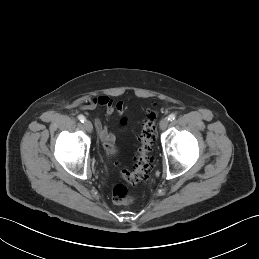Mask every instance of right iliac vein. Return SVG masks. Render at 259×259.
I'll return each instance as SVG.
<instances>
[{
    "instance_id": "right-iliac-vein-1",
    "label": "right iliac vein",
    "mask_w": 259,
    "mask_h": 259,
    "mask_svg": "<svg viewBox=\"0 0 259 259\" xmlns=\"http://www.w3.org/2000/svg\"><path fill=\"white\" fill-rule=\"evenodd\" d=\"M84 126H85V129L88 131V132H92L93 131V126H92V123L88 120H86L84 122Z\"/></svg>"
}]
</instances>
